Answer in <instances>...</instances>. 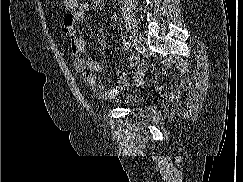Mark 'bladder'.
<instances>
[{
    "mask_svg": "<svg viewBox=\"0 0 243 182\" xmlns=\"http://www.w3.org/2000/svg\"><path fill=\"white\" fill-rule=\"evenodd\" d=\"M145 101V95L140 91H128L118 101V104L124 107H136L142 105Z\"/></svg>",
    "mask_w": 243,
    "mask_h": 182,
    "instance_id": "bladder-1",
    "label": "bladder"
}]
</instances>
